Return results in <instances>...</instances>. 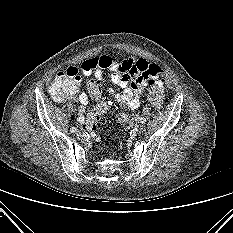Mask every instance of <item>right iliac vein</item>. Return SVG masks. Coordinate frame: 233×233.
I'll return each instance as SVG.
<instances>
[{
    "mask_svg": "<svg viewBox=\"0 0 233 233\" xmlns=\"http://www.w3.org/2000/svg\"><path fill=\"white\" fill-rule=\"evenodd\" d=\"M76 136L81 137L82 136L81 132L77 131Z\"/></svg>",
    "mask_w": 233,
    "mask_h": 233,
    "instance_id": "1",
    "label": "right iliac vein"
}]
</instances>
